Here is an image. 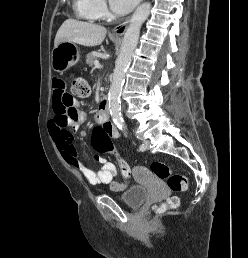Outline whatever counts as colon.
<instances>
[{"label":"colon","instance_id":"1","mask_svg":"<svg viewBox=\"0 0 248 258\" xmlns=\"http://www.w3.org/2000/svg\"><path fill=\"white\" fill-rule=\"evenodd\" d=\"M90 93V88L87 80L82 76H75L71 83V94L75 97H87ZM75 109L65 111L59 116L61 122L64 125H68V122L72 120ZM94 146L99 154L110 155L115 159L114 163L117 165V169H121L123 176L128 177L130 175L129 166L131 161L127 158H122V154L116 150V144H111L110 136L102 127H97L93 132ZM152 173L158 178L165 180L169 189L175 192H183L188 188V180L184 175L176 174L173 172L172 165L164 162L155 161L150 165ZM180 205V200L177 197L169 198L159 210L173 209Z\"/></svg>","mask_w":248,"mask_h":258}]
</instances>
